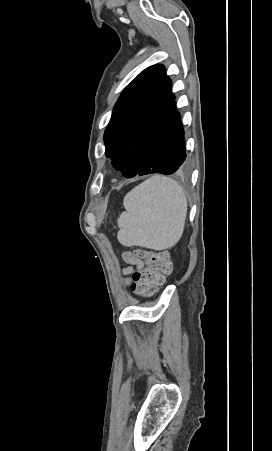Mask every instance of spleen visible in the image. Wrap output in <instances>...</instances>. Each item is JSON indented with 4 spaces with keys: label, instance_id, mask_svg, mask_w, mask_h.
Returning <instances> with one entry per match:
<instances>
[{
    "label": "spleen",
    "instance_id": "1",
    "mask_svg": "<svg viewBox=\"0 0 272 451\" xmlns=\"http://www.w3.org/2000/svg\"><path fill=\"white\" fill-rule=\"evenodd\" d=\"M126 212L118 218L122 245L168 249L180 239L187 214L186 196L176 180L151 176L123 200Z\"/></svg>",
    "mask_w": 272,
    "mask_h": 451
}]
</instances>
